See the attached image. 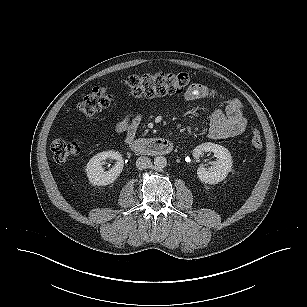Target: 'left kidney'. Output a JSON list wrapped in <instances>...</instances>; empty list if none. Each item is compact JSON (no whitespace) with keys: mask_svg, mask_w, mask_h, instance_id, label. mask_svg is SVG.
Segmentation results:
<instances>
[{"mask_svg":"<svg viewBox=\"0 0 307 307\" xmlns=\"http://www.w3.org/2000/svg\"><path fill=\"white\" fill-rule=\"evenodd\" d=\"M204 152H213L216 160L210 168L200 166L197 170L198 178L203 183L217 184L223 181L232 169V157L230 152L221 145L203 143L193 150V156L198 160Z\"/></svg>","mask_w":307,"mask_h":307,"instance_id":"5707ae66","label":"left kidney"}]
</instances>
